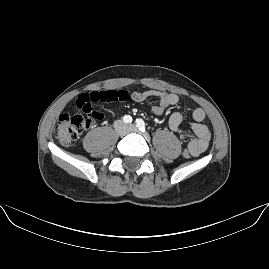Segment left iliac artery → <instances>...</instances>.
<instances>
[{
  "mask_svg": "<svg viewBox=\"0 0 269 269\" xmlns=\"http://www.w3.org/2000/svg\"><path fill=\"white\" fill-rule=\"evenodd\" d=\"M135 123L141 132H145V122L142 119H136Z\"/></svg>",
  "mask_w": 269,
  "mask_h": 269,
  "instance_id": "obj_1",
  "label": "left iliac artery"
}]
</instances>
